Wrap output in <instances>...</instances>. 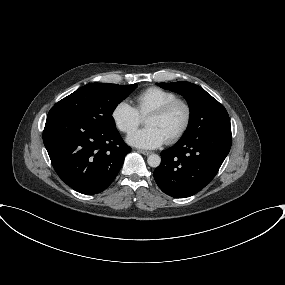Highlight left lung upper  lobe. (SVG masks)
Wrapping results in <instances>:
<instances>
[{
  "instance_id": "obj_1",
  "label": "left lung upper lobe",
  "mask_w": 285,
  "mask_h": 285,
  "mask_svg": "<svg viewBox=\"0 0 285 285\" xmlns=\"http://www.w3.org/2000/svg\"><path fill=\"white\" fill-rule=\"evenodd\" d=\"M185 97L190 107V123L182 138L208 132L231 133L226 109L203 88L190 82L157 83Z\"/></svg>"
}]
</instances>
